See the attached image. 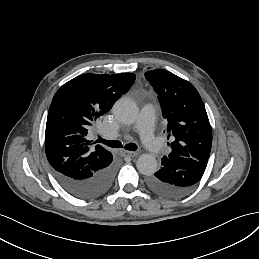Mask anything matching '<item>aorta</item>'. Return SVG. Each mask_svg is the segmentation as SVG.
<instances>
[{
    "label": "aorta",
    "mask_w": 259,
    "mask_h": 259,
    "mask_svg": "<svg viewBox=\"0 0 259 259\" xmlns=\"http://www.w3.org/2000/svg\"><path fill=\"white\" fill-rule=\"evenodd\" d=\"M115 117L124 124H132L138 116V107L136 103L127 97L118 99L113 107ZM157 160L149 153L140 155L136 162L138 171L146 176L153 175L157 171Z\"/></svg>",
    "instance_id": "obj_1"
}]
</instances>
